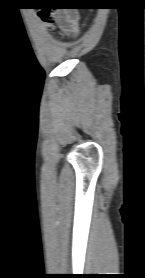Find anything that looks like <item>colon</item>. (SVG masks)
Segmentation results:
<instances>
[{
  "instance_id": "1",
  "label": "colon",
  "mask_w": 145,
  "mask_h": 278,
  "mask_svg": "<svg viewBox=\"0 0 145 278\" xmlns=\"http://www.w3.org/2000/svg\"><path fill=\"white\" fill-rule=\"evenodd\" d=\"M82 8H86V6L78 3V0H64V2L61 4L51 5L46 9L39 11V17L47 26L51 27L55 23V12L82 10ZM70 19L73 20V18ZM74 27L75 24L73 23L68 26L69 29H73Z\"/></svg>"
}]
</instances>
